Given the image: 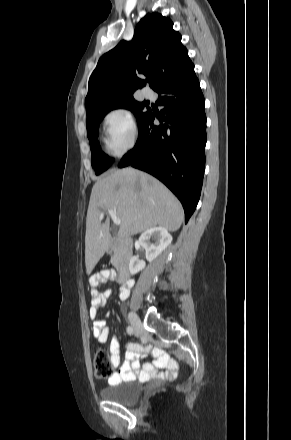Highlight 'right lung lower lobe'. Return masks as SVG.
I'll list each match as a JSON object with an SVG mask.
<instances>
[{"mask_svg": "<svg viewBox=\"0 0 291 440\" xmlns=\"http://www.w3.org/2000/svg\"><path fill=\"white\" fill-rule=\"evenodd\" d=\"M155 91L164 108L160 114L148 108L136 146L119 167L131 165L161 180L181 201L187 223L199 201L205 169V103L194 65ZM155 117L159 125L153 123Z\"/></svg>", "mask_w": 291, "mask_h": 440, "instance_id": "98d812e1", "label": "right lung lower lobe"}]
</instances>
